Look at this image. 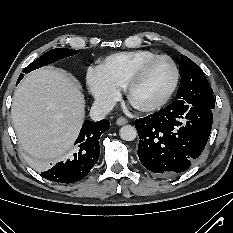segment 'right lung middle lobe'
<instances>
[{
  "label": "right lung middle lobe",
  "instance_id": "dd1d6c3e",
  "mask_svg": "<svg viewBox=\"0 0 233 233\" xmlns=\"http://www.w3.org/2000/svg\"><path fill=\"white\" fill-rule=\"evenodd\" d=\"M79 53V50H72V49H66V48H57L52 49L45 54H43L41 57L33 61L31 64H29L24 70V73H29L37 68H40L42 66H46L48 64L54 63L58 60L64 59L66 57H70L73 55H76ZM24 77V74H20L19 78L22 79Z\"/></svg>",
  "mask_w": 233,
  "mask_h": 233
}]
</instances>
